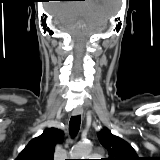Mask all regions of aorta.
<instances>
[{"label":"aorta","mask_w":160,"mask_h":160,"mask_svg":"<svg viewBox=\"0 0 160 160\" xmlns=\"http://www.w3.org/2000/svg\"><path fill=\"white\" fill-rule=\"evenodd\" d=\"M91 152V145L88 143H79L71 151V159H86Z\"/></svg>","instance_id":"762f6f07"}]
</instances>
